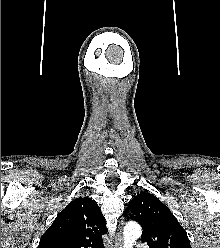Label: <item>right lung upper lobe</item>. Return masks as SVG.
Segmentation results:
<instances>
[{
    "mask_svg": "<svg viewBox=\"0 0 220 248\" xmlns=\"http://www.w3.org/2000/svg\"><path fill=\"white\" fill-rule=\"evenodd\" d=\"M105 218L95 200L71 201L41 237L38 248H104Z\"/></svg>",
    "mask_w": 220,
    "mask_h": 248,
    "instance_id": "1",
    "label": "right lung upper lobe"
}]
</instances>
